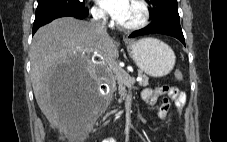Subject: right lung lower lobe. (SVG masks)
Returning a JSON list of instances; mask_svg holds the SVG:
<instances>
[{
    "label": "right lung lower lobe",
    "mask_w": 227,
    "mask_h": 142,
    "mask_svg": "<svg viewBox=\"0 0 227 142\" xmlns=\"http://www.w3.org/2000/svg\"><path fill=\"white\" fill-rule=\"evenodd\" d=\"M88 15V10L86 8H77V9H58L52 10L48 12H44L41 14H36L35 21L33 24V31L34 34L37 29L52 20L60 17H75L78 19H83Z\"/></svg>",
    "instance_id": "98d812e1"
}]
</instances>
